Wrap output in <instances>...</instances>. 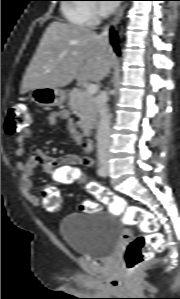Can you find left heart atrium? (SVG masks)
Masks as SVG:
<instances>
[{
  "label": "left heart atrium",
  "mask_w": 180,
  "mask_h": 299,
  "mask_svg": "<svg viewBox=\"0 0 180 299\" xmlns=\"http://www.w3.org/2000/svg\"><path fill=\"white\" fill-rule=\"evenodd\" d=\"M103 9L106 12H111V11H113L115 9V4H113V3H105L103 5Z\"/></svg>",
  "instance_id": "obj_1"
}]
</instances>
